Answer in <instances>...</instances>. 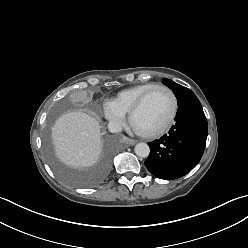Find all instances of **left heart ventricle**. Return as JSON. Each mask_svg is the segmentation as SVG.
Wrapping results in <instances>:
<instances>
[{"instance_id":"1","label":"left heart ventricle","mask_w":248,"mask_h":248,"mask_svg":"<svg viewBox=\"0 0 248 248\" xmlns=\"http://www.w3.org/2000/svg\"><path fill=\"white\" fill-rule=\"evenodd\" d=\"M172 112V99L164 90L154 91L133 118V127L143 133L156 131Z\"/></svg>"}]
</instances>
